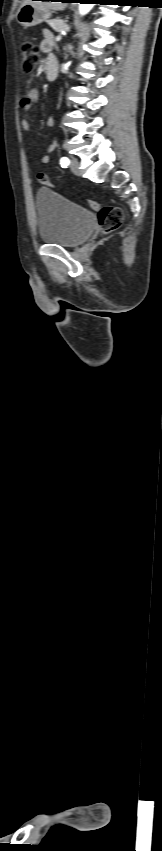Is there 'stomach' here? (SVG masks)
Listing matches in <instances>:
<instances>
[{
    "label": "stomach",
    "mask_w": 162,
    "mask_h": 851,
    "mask_svg": "<svg viewBox=\"0 0 162 851\" xmlns=\"http://www.w3.org/2000/svg\"><path fill=\"white\" fill-rule=\"evenodd\" d=\"M50 17L51 11L49 9L25 4L18 10L16 19L21 26L28 28L47 21Z\"/></svg>",
    "instance_id": "stomach-1"
}]
</instances>
